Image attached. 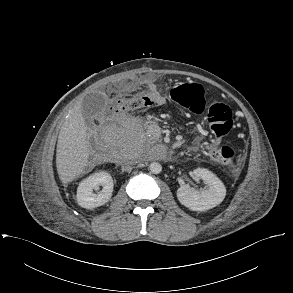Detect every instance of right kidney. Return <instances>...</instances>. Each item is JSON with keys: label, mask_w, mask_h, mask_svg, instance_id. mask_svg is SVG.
<instances>
[{"label": "right kidney", "mask_w": 293, "mask_h": 293, "mask_svg": "<svg viewBox=\"0 0 293 293\" xmlns=\"http://www.w3.org/2000/svg\"><path fill=\"white\" fill-rule=\"evenodd\" d=\"M102 186V190L93 193ZM113 179L111 175L105 171L95 172L84 179L77 188V203L86 209H93L107 203L113 192Z\"/></svg>", "instance_id": "1"}]
</instances>
